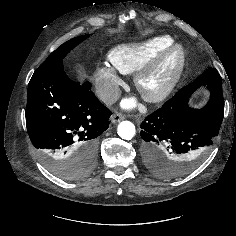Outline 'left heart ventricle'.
<instances>
[{
    "label": "left heart ventricle",
    "instance_id": "1",
    "mask_svg": "<svg viewBox=\"0 0 236 236\" xmlns=\"http://www.w3.org/2000/svg\"><path fill=\"white\" fill-rule=\"evenodd\" d=\"M174 68V62L171 59L164 61L145 81L149 90L161 88L171 77Z\"/></svg>",
    "mask_w": 236,
    "mask_h": 236
}]
</instances>
